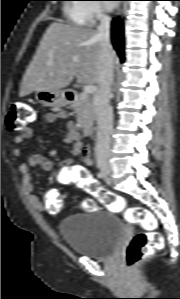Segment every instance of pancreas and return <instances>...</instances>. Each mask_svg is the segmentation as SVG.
Wrapping results in <instances>:
<instances>
[{"mask_svg":"<svg viewBox=\"0 0 180 299\" xmlns=\"http://www.w3.org/2000/svg\"><path fill=\"white\" fill-rule=\"evenodd\" d=\"M77 114V122L79 127L89 128L95 120V112L93 108L92 98L85 93L78 95L77 100L71 104Z\"/></svg>","mask_w":180,"mask_h":299,"instance_id":"obj_1","label":"pancreas"}]
</instances>
